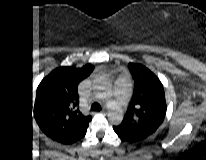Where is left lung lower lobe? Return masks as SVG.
Listing matches in <instances>:
<instances>
[{
	"label": "left lung lower lobe",
	"mask_w": 206,
	"mask_h": 160,
	"mask_svg": "<svg viewBox=\"0 0 206 160\" xmlns=\"http://www.w3.org/2000/svg\"><path fill=\"white\" fill-rule=\"evenodd\" d=\"M114 130L121 138H123L125 140H128V141L134 142V141H137V140L145 138V137H141V136L135 135V134H133L131 132H128V131L120 130L117 127H114Z\"/></svg>",
	"instance_id": "left-lung-lower-lobe-1"
}]
</instances>
